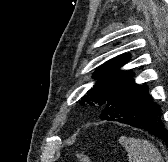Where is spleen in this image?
Wrapping results in <instances>:
<instances>
[{
    "mask_svg": "<svg viewBox=\"0 0 168 162\" xmlns=\"http://www.w3.org/2000/svg\"><path fill=\"white\" fill-rule=\"evenodd\" d=\"M119 142L125 147L129 162H164L158 149L146 139L121 136Z\"/></svg>",
    "mask_w": 168,
    "mask_h": 162,
    "instance_id": "obj_1",
    "label": "spleen"
}]
</instances>
